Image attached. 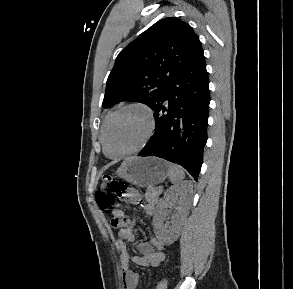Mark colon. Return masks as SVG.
I'll return each instance as SVG.
<instances>
[{"instance_id": "1", "label": "colon", "mask_w": 293, "mask_h": 289, "mask_svg": "<svg viewBox=\"0 0 293 289\" xmlns=\"http://www.w3.org/2000/svg\"><path fill=\"white\" fill-rule=\"evenodd\" d=\"M103 186L104 188L96 195V201L102 210L111 212L116 208L120 197L128 191V187L110 176L103 179ZM123 222V220L113 219L112 225L119 227Z\"/></svg>"}]
</instances>
